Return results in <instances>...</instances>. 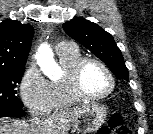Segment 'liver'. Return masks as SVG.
Masks as SVG:
<instances>
[{
    "mask_svg": "<svg viewBox=\"0 0 153 134\" xmlns=\"http://www.w3.org/2000/svg\"><path fill=\"white\" fill-rule=\"evenodd\" d=\"M84 108H73L61 111L45 120L36 118L31 121H20L0 118V134H49L50 132L66 134L74 119Z\"/></svg>",
    "mask_w": 153,
    "mask_h": 134,
    "instance_id": "1",
    "label": "liver"
}]
</instances>
